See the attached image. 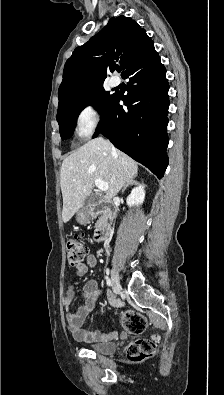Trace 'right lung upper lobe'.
<instances>
[{
  "instance_id": "obj_1",
  "label": "right lung upper lobe",
  "mask_w": 224,
  "mask_h": 395,
  "mask_svg": "<svg viewBox=\"0 0 224 395\" xmlns=\"http://www.w3.org/2000/svg\"><path fill=\"white\" fill-rule=\"evenodd\" d=\"M154 49L153 41L134 20L119 16L82 46L67 60L63 81L59 87V107L70 98L100 86L107 71L113 72L116 63L129 67Z\"/></svg>"
}]
</instances>
